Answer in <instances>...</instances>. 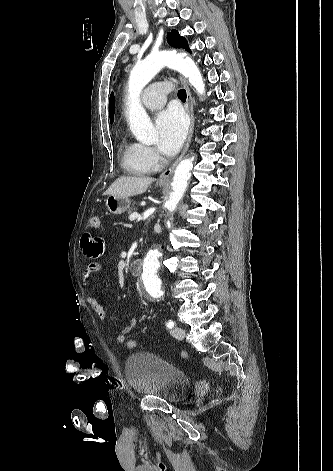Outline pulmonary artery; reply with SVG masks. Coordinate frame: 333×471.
Wrapping results in <instances>:
<instances>
[{"label":"pulmonary artery","mask_w":333,"mask_h":471,"mask_svg":"<svg viewBox=\"0 0 333 471\" xmlns=\"http://www.w3.org/2000/svg\"><path fill=\"white\" fill-rule=\"evenodd\" d=\"M169 92V84L157 82L151 84L142 96L143 105L149 110H156L166 102V95Z\"/></svg>","instance_id":"1"}]
</instances>
